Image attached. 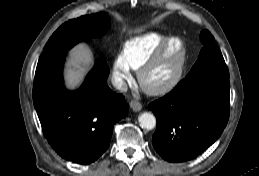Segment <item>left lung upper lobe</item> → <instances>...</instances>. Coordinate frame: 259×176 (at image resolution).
<instances>
[{
    "label": "left lung upper lobe",
    "instance_id": "5c2ea615",
    "mask_svg": "<svg viewBox=\"0 0 259 176\" xmlns=\"http://www.w3.org/2000/svg\"><path fill=\"white\" fill-rule=\"evenodd\" d=\"M200 40L203 43V48L197 62L186 77H192L200 73L211 71L229 74L221 51L215 44L214 37L211 33L207 30H203L200 34Z\"/></svg>",
    "mask_w": 259,
    "mask_h": 176
}]
</instances>
